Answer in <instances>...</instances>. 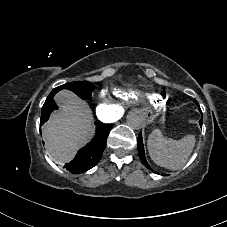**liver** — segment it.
I'll list each match as a JSON object with an SVG mask.
<instances>
[{"label": "liver", "mask_w": 227, "mask_h": 227, "mask_svg": "<svg viewBox=\"0 0 227 227\" xmlns=\"http://www.w3.org/2000/svg\"><path fill=\"white\" fill-rule=\"evenodd\" d=\"M55 100L62 110L52 114L43 126L46 148L56 163L68 162L93 134L91 110L70 91L62 90Z\"/></svg>", "instance_id": "obj_1"}]
</instances>
